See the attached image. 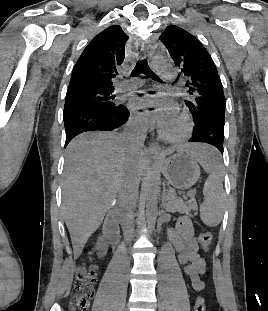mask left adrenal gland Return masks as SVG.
<instances>
[{
  "instance_id": "obj_1",
  "label": "left adrenal gland",
  "mask_w": 268,
  "mask_h": 311,
  "mask_svg": "<svg viewBox=\"0 0 268 311\" xmlns=\"http://www.w3.org/2000/svg\"><path fill=\"white\" fill-rule=\"evenodd\" d=\"M163 195H165V190L163 191Z\"/></svg>"
}]
</instances>
